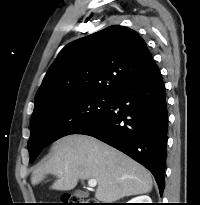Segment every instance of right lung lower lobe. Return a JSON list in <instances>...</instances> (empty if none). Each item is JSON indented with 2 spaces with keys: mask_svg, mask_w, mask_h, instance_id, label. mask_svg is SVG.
I'll use <instances>...</instances> for the list:
<instances>
[{
  "mask_svg": "<svg viewBox=\"0 0 200 205\" xmlns=\"http://www.w3.org/2000/svg\"><path fill=\"white\" fill-rule=\"evenodd\" d=\"M167 127L165 85L154 64L112 96L103 117L76 134L93 136L141 163L155 177L162 195Z\"/></svg>",
  "mask_w": 200,
  "mask_h": 205,
  "instance_id": "right-lung-lower-lobe-1",
  "label": "right lung lower lobe"
}]
</instances>
